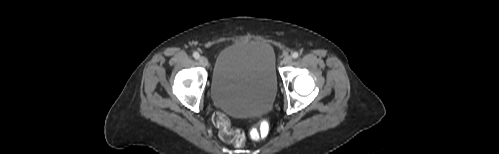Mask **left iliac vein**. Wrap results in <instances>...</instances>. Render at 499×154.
Here are the masks:
<instances>
[{
  "instance_id": "1",
  "label": "left iliac vein",
  "mask_w": 499,
  "mask_h": 154,
  "mask_svg": "<svg viewBox=\"0 0 499 154\" xmlns=\"http://www.w3.org/2000/svg\"><path fill=\"white\" fill-rule=\"evenodd\" d=\"M282 62H283L284 65L291 64V62H292V56H290V55L285 56Z\"/></svg>"
}]
</instances>
